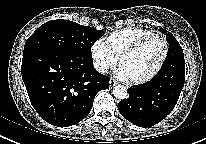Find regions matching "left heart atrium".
I'll return each mask as SVG.
<instances>
[{
    "label": "left heart atrium",
    "instance_id": "left-heart-atrium-1",
    "mask_svg": "<svg viewBox=\"0 0 206 144\" xmlns=\"http://www.w3.org/2000/svg\"><path fill=\"white\" fill-rule=\"evenodd\" d=\"M117 76L122 80H131V77L124 66L120 65L116 70Z\"/></svg>",
    "mask_w": 206,
    "mask_h": 144
}]
</instances>
